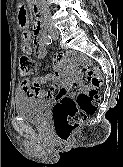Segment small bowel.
<instances>
[{"label":"small bowel","instance_id":"1","mask_svg":"<svg viewBox=\"0 0 123 167\" xmlns=\"http://www.w3.org/2000/svg\"><path fill=\"white\" fill-rule=\"evenodd\" d=\"M19 14L18 24L24 29L22 33L21 50L25 55H31L33 51L37 58L44 59L46 57L47 48L44 43L43 37L44 32L40 25H35L33 32L28 29V20L26 18L27 10L26 7H19L17 10ZM61 55L55 57L56 61H60ZM54 73L48 75L45 78H33L31 80L24 79L20 82L21 92L30 97L39 98H52L58 90L57 97L61 98L71 89H77L80 87L79 81L73 78H65L59 65L54 68ZM49 83V87L43 85Z\"/></svg>","mask_w":123,"mask_h":167}]
</instances>
